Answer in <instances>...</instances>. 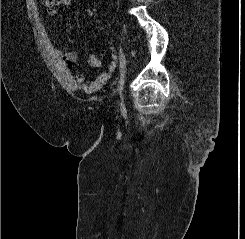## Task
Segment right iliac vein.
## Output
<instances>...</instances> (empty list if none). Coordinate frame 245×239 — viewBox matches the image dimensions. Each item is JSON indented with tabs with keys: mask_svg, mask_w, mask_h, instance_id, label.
<instances>
[{
	"mask_svg": "<svg viewBox=\"0 0 245 239\" xmlns=\"http://www.w3.org/2000/svg\"><path fill=\"white\" fill-rule=\"evenodd\" d=\"M124 82H125V68L122 71L119 81V97H120V107L122 110H125V101H124Z\"/></svg>",
	"mask_w": 245,
	"mask_h": 239,
	"instance_id": "1",
	"label": "right iliac vein"
}]
</instances>
